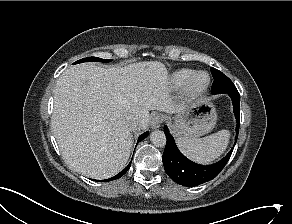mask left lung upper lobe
I'll use <instances>...</instances> for the list:
<instances>
[{
  "label": "left lung upper lobe",
  "instance_id": "1",
  "mask_svg": "<svg viewBox=\"0 0 292 224\" xmlns=\"http://www.w3.org/2000/svg\"><path fill=\"white\" fill-rule=\"evenodd\" d=\"M210 70L214 78V82L211 89L212 94L223 93L224 90L235 87L232 81L222 72L213 67H211Z\"/></svg>",
  "mask_w": 292,
  "mask_h": 224
}]
</instances>
